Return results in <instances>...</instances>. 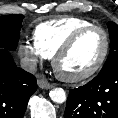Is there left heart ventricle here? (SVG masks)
<instances>
[{
	"label": "left heart ventricle",
	"instance_id": "left-heart-ventricle-1",
	"mask_svg": "<svg viewBox=\"0 0 118 118\" xmlns=\"http://www.w3.org/2000/svg\"><path fill=\"white\" fill-rule=\"evenodd\" d=\"M104 49V39L97 30L84 34L59 61L60 70L67 75H78L91 69Z\"/></svg>",
	"mask_w": 118,
	"mask_h": 118
}]
</instances>
